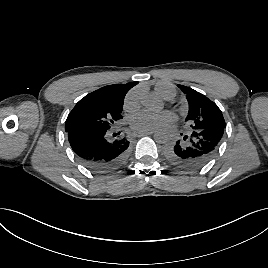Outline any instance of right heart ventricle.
<instances>
[{
	"label": "right heart ventricle",
	"mask_w": 268,
	"mask_h": 268,
	"mask_svg": "<svg viewBox=\"0 0 268 268\" xmlns=\"http://www.w3.org/2000/svg\"><path fill=\"white\" fill-rule=\"evenodd\" d=\"M156 92L164 99L170 100L174 97V89L165 83H158L155 87Z\"/></svg>",
	"instance_id": "obj_1"
}]
</instances>
